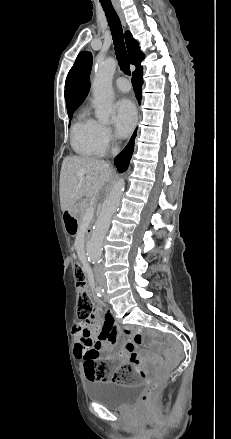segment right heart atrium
<instances>
[{"mask_svg":"<svg viewBox=\"0 0 231 439\" xmlns=\"http://www.w3.org/2000/svg\"><path fill=\"white\" fill-rule=\"evenodd\" d=\"M95 137L101 151L109 149L115 141L111 128L101 122H97L96 124Z\"/></svg>","mask_w":231,"mask_h":439,"instance_id":"d8ad5b80","label":"right heart atrium"}]
</instances>
